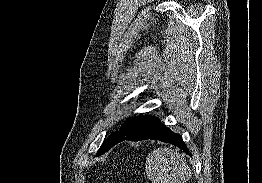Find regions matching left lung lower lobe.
Masks as SVG:
<instances>
[{
	"mask_svg": "<svg viewBox=\"0 0 262 183\" xmlns=\"http://www.w3.org/2000/svg\"><path fill=\"white\" fill-rule=\"evenodd\" d=\"M146 139L159 140L162 142L173 144L182 149L186 154L190 155L189 150L185 145L184 141L182 140L181 136L165 127L159 121V118H156L154 116H152L136 133L116 141L108 148V150L112 148L114 145L124 140L141 141Z\"/></svg>",
	"mask_w": 262,
	"mask_h": 183,
	"instance_id": "left-lung-lower-lobe-1",
	"label": "left lung lower lobe"
}]
</instances>
